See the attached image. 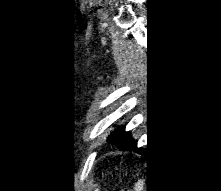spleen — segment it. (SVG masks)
Wrapping results in <instances>:
<instances>
[{
    "label": "spleen",
    "mask_w": 221,
    "mask_h": 191,
    "mask_svg": "<svg viewBox=\"0 0 221 191\" xmlns=\"http://www.w3.org/2000/svg\"><path fill=\"white\" fill-rule=\"evenodd\" d=\"M144 188H145L144 180H138V182L135 183V186H134L135 191H144Z\"/></svg>",
    "instance_id": "3e777b00"
}]
</instances>
